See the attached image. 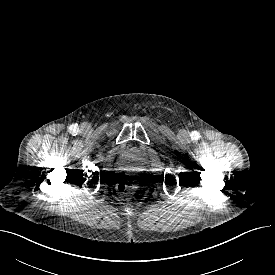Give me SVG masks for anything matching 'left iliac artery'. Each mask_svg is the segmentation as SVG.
<instances>
[{
  "label": "left iliac artery",
  "mask_w": 275,
  "mask_h": 275,
  "mask_svg": "<svg viewBox=\"0 0 275 275\" xmlns=\"http://www.w3.org/2000/svg\"><path fill=\"white\" fill-rule=\"evenodd\" d=\"M191 137H192L193 139H198V138H199V133L196 132V131H194V132H192Z\"/></svg>",
  "instance_id": "left-iliac-artery-1"
}]
</instances>
